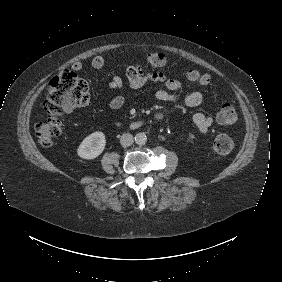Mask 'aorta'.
Here are the masks:
<instances>
[{"mask_svg": "<svg viewBox=\"0 0 282 282\" xmlns=\"http://www.w3.org/2000/svg\"><path fill=\"white\" fill-rule=\"evenodd\" d=\"M135 143L138 145H145L147 142V135L144 132H139L134 137Z\"/></svg>", "mask_w": 282, "mask_h": 282, "instance_id": "762f6f07", "label": "aorta"}]
</instances>
